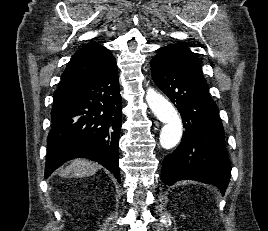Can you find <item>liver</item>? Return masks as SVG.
Instances as JSON below:
<instances>
[{
  "label": "liver",
  "instance_id": "1",
  "mask_svg": "<svg viewBox=\"0 0 268 231\" xmlns=\"http://www.w3.org/2000/svg\"><path fill=\"white\" fill-rule=\"evenodd\" d=\"M99 167V164L89 160L75 159L70 162V165L65 170L60 172V176L66 178L88 177L94 175Z\"/></svg>",
  "mask_w": 268,
  "mask_h": 231
}]
</instances>
